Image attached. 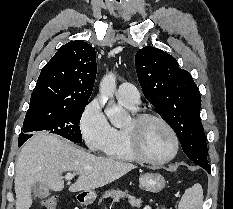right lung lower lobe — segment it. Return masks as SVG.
Wrapping results in <instances>:
<instances>
[{"label": "right lung lower lobe", "mask_w": 233, "mask_h": 209, "mask_svg": "<svg viewBox=\"0 0 233 209\" xmlns=\"http://www.w3.org/2000/svg\"><path fill=\"white\" fill-rule=\"evenodd\" d=\"M21 143L18 142V145L20 146Z\"/></svg>", "instance_id": "right-lung-lower-lobe-1"}]
</instances>
